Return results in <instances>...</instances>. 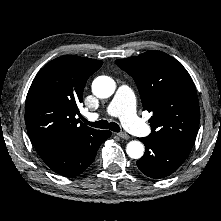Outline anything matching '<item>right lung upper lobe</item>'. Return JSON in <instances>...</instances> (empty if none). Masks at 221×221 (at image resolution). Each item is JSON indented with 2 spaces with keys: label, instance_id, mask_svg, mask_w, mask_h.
I'll use <instances>...</instances> for the list:
<instances>
[{
  "label": "right lung upper lobe",
  "instance_id": "1",
  "mask_svg": "<svg viewBox=\"0 0 221 221\" xmlns=\"http://www.w3.org/2000/svg\"><path fill=\"white\" fill-rule=\"evenodd\" d=\"M102 64L95 59L65 55L39 71L25 102V123L33 143L79 138L97 131L83 124L77 115L87 79Z\"/></svg>",
  "mask_w": 221,
  "mask_h": 221
}]
</instances>
